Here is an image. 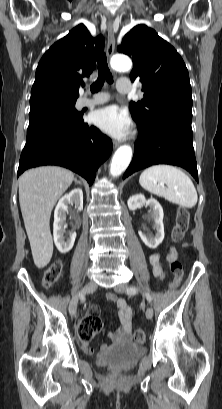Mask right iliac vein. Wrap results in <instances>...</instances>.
Here are the masks:
<instances>
[{
  "mask_svg": "<svg viewBox=\"0 0 222 409\" xmlns=\"http://www.w3.org/2000/svg\"><path fill=\"white\" fill-rule=\"evenodd\" d=\"M96 288H97V284L94 281H90L83 287L81 292H79V294L76 295L71 300V302L69 304V312H70L71 316H73V317L77 316V304H78L79 297L95 291Z\"/></svg>",
  "mask_w": 222,
  "mask_h": 409,
  "instance_id": "obj_1",
  "label": "right iliac vein"
}]
</instances>
